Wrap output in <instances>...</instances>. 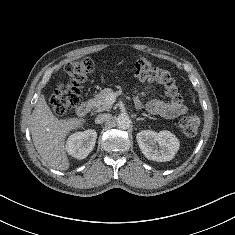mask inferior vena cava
Listing matches in <instances>:
<instances>
[{
  "mask_svg": "<svg viewBox=\"0 0 235 235\" xmlns=\"http://www.w3.org/2000/svg\"><path fill=\"white\" fill-rule=\"evenodd\" d=\"M109 118H110L109 114H99L95 118V123H97V124L103 123V122L107 121Z\"/></svg>",
  "mask_w": 235,
  "mask_h": 235,
  "instance_id": "602c4592",
  "label": "inferior vena cava"
}]
</instances>
